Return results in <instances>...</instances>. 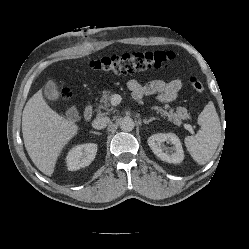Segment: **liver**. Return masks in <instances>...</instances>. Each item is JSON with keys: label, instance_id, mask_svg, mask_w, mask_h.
Masks as SVG:
<instances>
[{"label": "liver", "instance_id": "obj_1", "mask_svg": "<svg viewBox=\"0 0 249 249\" xmlns=\"http://www.w3.org/2000/svg\"><path fill=\"white\" fill-rule=\"evenodd\" d=\"M78 130L77 124L49 107L41 90L24 107L22 133L25 148L32 162L45 175L53 174L57 158Z\"/></svg>", "mask_w": 249, "mask_h": 249}]
</instances>
